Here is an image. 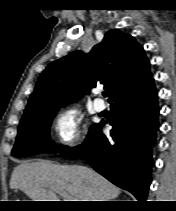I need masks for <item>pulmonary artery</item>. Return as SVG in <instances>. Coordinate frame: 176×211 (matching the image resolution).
Returning <instances> with one entry per match:
<instances>
[{
  "label": "pulmonary artery",
  "instance_id": "e3ab8cb5",
  "mask_svg": "<svg viewBox=\"0 0 176 211\" xmlns=\"http://www.w3.org/2000/svg\"><path fill=\"white\" fill-rule=\"evenodd\" d=\"M94 108L96 111L101 112L105 109L106 105L104 101L100 98H96L93 102Z\"/></svg>",
  "mask_w": 176,
  "mask_h": 211
}]
</instances>
